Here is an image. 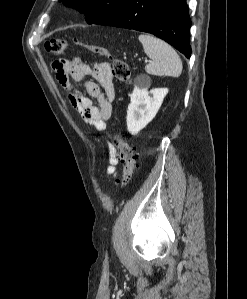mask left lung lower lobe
<instances>
[{"instance_id": "obj_1", "label": "left lung lower lobe", "mask_w": 247, "mask_h": 299, "mask_svg": "<svg viewBox=\"0 0 247 299\" xmlns=\"http://www.w3.org/2000/svg\"><path fill=\"white\" fill-rule=\"evenodd\" d=\"M93 24L134 29L153 34L191 56L186 0H121Z\"/></svg>"}]
</instances>
